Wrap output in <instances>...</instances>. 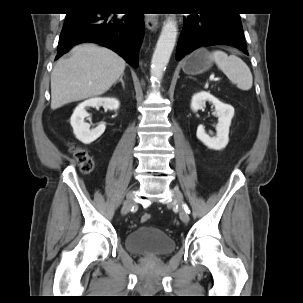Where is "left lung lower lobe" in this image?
Listing matches in <instances>:
<instances>
[{
    "label": "left lung lower lobe",
    "mask_w": 303,
    "mask_h": 303,
    "mask_svg": "<svg viewBox=\"0 0 303 303\" xmlns=\"http://www.w3.org/2000/svg\"><path fill=\"white\" fill-rule=\"evenodd\" d=\"M210 45H230L248 55L239 16L209 11L184 18L176 49L179 61L193 50Z\"/></svg>",
    "instance_id": "0a47b994"
}]
</instances>
